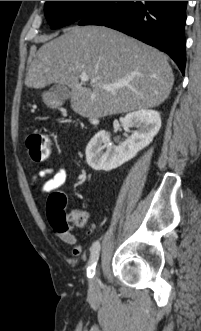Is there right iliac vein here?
Instances as JSON below:
<instances>
[{"label": "right iliac vein", "instance_id": "right-iliac-vein-1", "mask_svg": "<svg viewBox=\"0 0 201 331\" xmlns=\"http://www.w3.org/2000/svg\"><path fill=\"white\" fill-rule=\"evenodd\" d=\"M98 274H99V272H98V270H97V272H96V275H95V277H94V279H93V283H92V285H91V287H90V291L93 293V292H95L96 291V289H97V279H98Z\"/></svg>", "mask_w": 201, "mask_h": 331}]
</instances>
